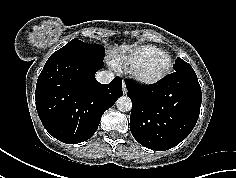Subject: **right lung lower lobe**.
<instances>
[{"instance_id": "1", "label": "right lung lower lobe", "mask_w": 236, "mask_h": 178, "mask_svg": "<svg viewBox=\"0 0 236 178\" xmlns=\"http://www.w3.org/2000/svg\"><path fill=\"white\" fill-rule=\"evenodd\" d=\"M103 55L77 49L54 53L47 60L36 85L39 118L50 135L68 144L88 140L103 113L123 95L122 79L101 84L95 73Z\"/></svg>"}]
</instances>
